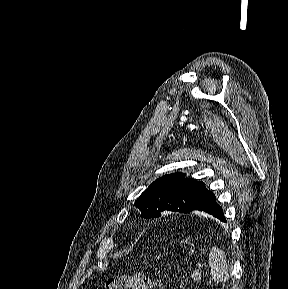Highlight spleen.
Instances as JSON below:
<instances>
[{
  "label": "spleen",
  "mask_w": 288,
  "mask_h": 289,
  "mask_svg": "<svg viewBox=\"0 0 288 289\" xmlns=\"http://www.w3.org/2000/svg\"><path fill=\"white\" fill-rule=\"evenodd\" d=\"M209 266L212 279L216 282H226L229 278L228 264L225 253L213 247L209 253Z\"/></svg>",
  "instance_id": "spleen-1"
}]
</instances>
